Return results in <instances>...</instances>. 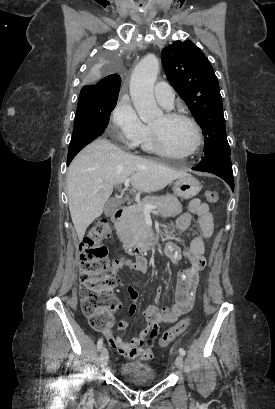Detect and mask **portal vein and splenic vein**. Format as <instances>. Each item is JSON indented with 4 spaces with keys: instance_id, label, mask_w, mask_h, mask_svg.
<instances>
[{
    "instance_id": "obj_1",
    "label": "portal vein and splenic vein",
    "mask_w": 275,
    "mask_h": 409,
    "mask_svg": "<svg viewBox=\"0 0 275 409\" xmlns=\"http://www.w3.org/2000/svg\"><path fill=\"white\" fill-rule=\"evenodd\" d=\"M130 182V178H125L124 184L125 188H128ZM152 209H157V205H144V213H150Z\"/></svg>"
}]
</instances>
